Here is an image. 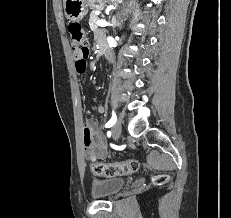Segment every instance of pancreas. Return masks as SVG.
Masks as SVG:
<instances>
[{"label": "pancreas", "mask_w": 231, "mask_h": 218, "mask_svg": "<svg viewBox=\"0 0 231 218\" xmlns=\"http://www.w3.org/2000/svg\"><path fill=\"white\" fill-rule=\"evenodd\" d=\"M99 20L98 16L95 14V11H93L90 14V19H89V26L92 30H96L98 28L96 22Z\"/></svg>", "instance_id": "1"}]
</instances>
